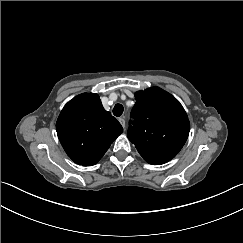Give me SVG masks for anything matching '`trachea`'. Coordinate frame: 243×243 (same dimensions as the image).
<instances>
[{"instance_id":"obj_1","label":"trachea","mask_w":243,"mask_h":243,"mask_svg":"<svg viewBox=\"0 0 243 243\" xmlns=\"http://www.w3.org/2000/svg\"><path fill=\"white\" fill-rule=\"evenodd\" d=\"M123 106L121 104H116L113 108V114L117 117L121 116L123 113Z\"/></svg>"}]
</instances>
